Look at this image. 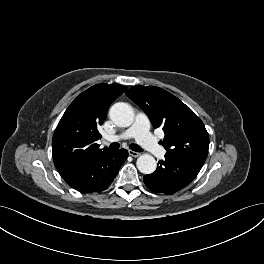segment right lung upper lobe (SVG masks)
<instances>
[{"label":"right lung upper lobe","instance_id":"1","mask_svg":"<svg viewBox=\"0 0 264 264\" xmlns=\"http://www.w3.org/2000/svg\"><path fill=\"white\" fill-rule=\"evenodd\" d=\"M127 88L96 84L78 95L62 116L52 140L54 164L61 176L78 169L109 150L96 143L110 104Z\"/></svg>","mask_w":264,"mask_h":264}]
</instances>
